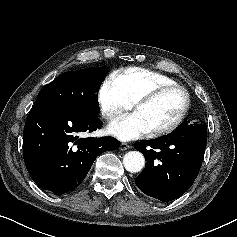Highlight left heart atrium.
I'll list each match as a JSON object with an SVG mask.
<instances>
[{"mask_svg":"<svg viewBox=\"0 0 237 237\" xmlns=\"http://www.w3.org/2000/svg\"><path fill=\"white\" fill-rule=\"evenodd\" d=\"M107 132L122 141H129L145 136L149 129L138 114L131 113L110 124Z\"/></svg>","mask_w":237,"mask_h":237,"instance_id":"left-heart-atrium-1","label":"left heart atrium"}]
</instances>
